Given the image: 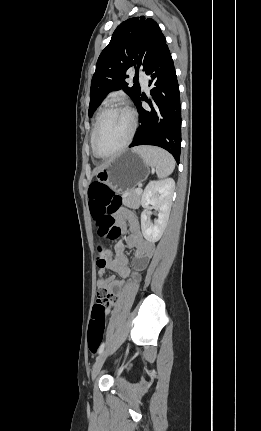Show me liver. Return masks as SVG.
<instances>
[{"label": "liver", "instance_id": "obj_1", "mask_svg": "<svg viewBox=\"0 0 261 431\" xmlns=\"http://www.w3.org/2000/svg\"><path fill=\"white\" fill-rule=\"evenodd\" d=\"M108 164V162L107 163H105L104 165H102L101 167H99L98 168V170H100V169H102L104 166H106Z\"/></svg>", "mask_w": 261, "mask_h": 431}]
</instances>
